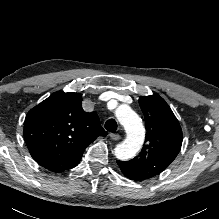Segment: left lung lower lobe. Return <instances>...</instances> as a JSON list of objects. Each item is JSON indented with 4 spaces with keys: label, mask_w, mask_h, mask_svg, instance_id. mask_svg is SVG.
<instances>
[{
    "label": "left lung lower lobe",
    "mask_w": 219,
    "mask_h": 219,
    "mask_svg": "<svg viewBox=\"0 0 219 219\" xmlns=\"http://www.w3.org/2000/svg\"><path fill=\"white\" fill-rule=\"evenodd\" d=\"M122 172H123L124 175H125L126 177H128L129 179L135 180V181H140V179H139L137 176H135L134 174H132V173H130V172H128V171H122Z\"/></svg>",
    "instance_id": "obj_1"
}]
</instances>
